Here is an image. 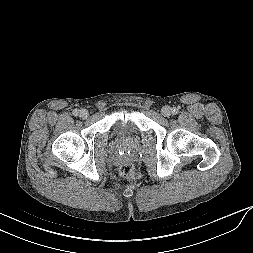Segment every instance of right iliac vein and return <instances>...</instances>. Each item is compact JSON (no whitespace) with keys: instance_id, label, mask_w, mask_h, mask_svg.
Returning a JSON list of instances; mask_svg holds the SVG:
<instances>
[{"instance_id":"63e3f726","label":"right iliac vein","mask_w":253,"mask_h":253,"mask_svg":"<svg viewBox=\"0 0 253 253\" xmlns=\"http://www.w3.org/2000/svg\"><path fill=\"white\" fill-rule=\"evenodd\" d=\"M79 116L82 119H86L89 116V113L86 109H81L80 112H79Z\"/></svg>"}]
</instances>
